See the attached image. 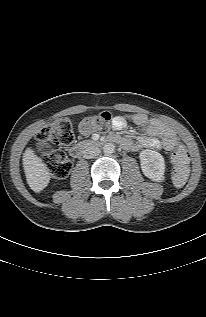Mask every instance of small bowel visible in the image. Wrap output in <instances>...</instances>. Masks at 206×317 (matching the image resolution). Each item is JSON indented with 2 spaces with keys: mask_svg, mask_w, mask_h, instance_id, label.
Instances as JSON below:
<instances>
[{
  "mask_svg": "<svg viewBox=\"0 0 206 317\" xmlns=\"http://www.w3.org/2000/svg\"><path fill=\"white\" fill-rule=\"evenodd\" d=\"M128 121L140 126L144 132L136 144L128 138H123L122 145L126 149L138 151L140 149H159L162 143L170 138H176L174 132L159 120L148 117L143 113L116 116L112 120V128L116 131L127 126Z\"/></svg>",
  "mask_w": 206,
  "mask_h": 317,
  "instance_id": "small-bowel-1",
  "label": "small bowel"
}]
</instances>
